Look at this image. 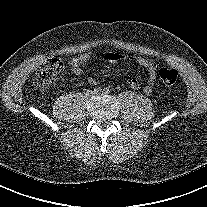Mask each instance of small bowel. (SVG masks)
I'll return each instance as SVG.
<instances>
[{"mask_svg": "<svg viewBox=\"0 0 207 207\" xmlns=\"http://www.w3.org/2000/svg\"><path fill=\"white\" fill-rule=\"evenodd\" d=\"M122 59V55L118 53L109 52L105 55V60L108 62H115ZM89 60V54H82L78 57L72 58L70 60L71 71L74 75L80 76L83 74V66ZM133 60L141 67L146 69L148 73V80L146 85L143 87V92L145 94H150L153 90V85L157 76V69L153 62L145 58H133ZM91 84H95L96 80L93 78L89 79ZM129 85L132 89H137L139 87L138 81L136 79H130Z\"/></svg>", "mask_w": 207, "mask_h": 207, "instance_id": "obj_1", "label": "small bowel"}]
</instances>
